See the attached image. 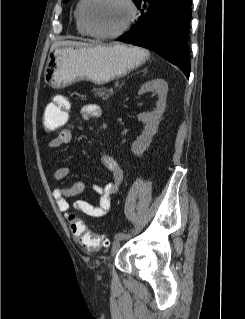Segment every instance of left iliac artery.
<instances>
[{"mask_svg":"<svg viewBox=\"0 0 245 319\" xmlns=\"http://www.w3.org/2000/svg\"><path fill=\"white\" fill-rule=\"evenodd\" d=\"M125 237H127V234L119 232L115 235V239L120 238V239H124Z\"/></svg>","mask_w":245,"mask_h":319,"instance_id":"44dca946","label":"left iliac artery"}]
</instances>
